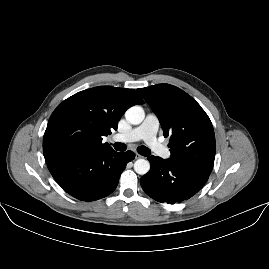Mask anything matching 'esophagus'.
<instances>
[{
    "instance_id": "obj_1",
    "label": "esophagus",
    "mask_w": 269,
    "mask_h": 269,
    "mask_svg": "<svg viewBox=\"0 0 269 269\" xmlns=\"http://www.w3.org/2000/svg\"><path fill=\"white\" fill-rule=\"evenodd\" d=\"M142 156L140 155V154H138L137 152L135 153V158L136 159H139V158H141Z\"/></svg>"
}]
</instances>
